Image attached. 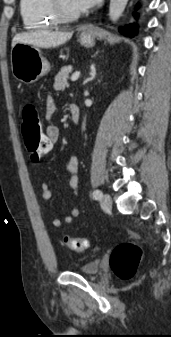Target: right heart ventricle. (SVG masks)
Instances as JSON below:
<instances>
[{
  "label": "right heart ventricle",
  "instance_id": "obj_1",
  "mask_svg": "<svg viewBox=\"0 0 171 337\" xmlns=\"http://www.w3.org/2000/svg\"><path fill=\"white\" fill-rule=\"evenodd\" d=\"M20 14L27 29H48L60 24L51 0H20Z\"/></svg>",
  "mask_w": 171,
  "mask_h": 337
}]
</instances>
